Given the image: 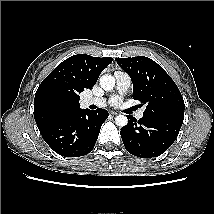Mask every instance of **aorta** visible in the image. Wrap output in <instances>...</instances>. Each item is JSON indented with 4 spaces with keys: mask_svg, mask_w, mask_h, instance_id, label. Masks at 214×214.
Instances as JSON below:
<instances>
[{
    "mask_svg": "<svg viewBox=\"0 0 214 214\" xmlns=\"http://www.w3.org/2000/svg\"><path fill=\"white\" fill-rule=\"evenodd\" d=\"M100 86L105 91H111L115 86V78L111 75L105 74L100 78ZM128 123V119L124 115H118L115 118V124L119 127H124Z\"/></svg>",
    "mask_w": 214,
    "mask_h": 214,
    "instance_id": "obj_1",
    "label": "aorta"
}]
</instances>
